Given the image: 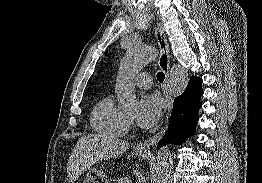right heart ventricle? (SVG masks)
Wrapping results in <instances>:
<instances>
[{
  "instance_id": "1",
  "label": "right heart ventricle",
  "mask_w": 262,
  "mask_h": 183,
  "mask_svg": "<svg viewBox=\"0 0 262 183\" xmlns=\"http://www.w3.org/2000/svg\"><path fill=\"white\" fill-rule=\"evenodd\" d=\"M90 122L94 131L107 137L121 138L129 131L128 118L116 107L111 95L103 97L93 107Z\"/></svg>"
}]
</instances>
